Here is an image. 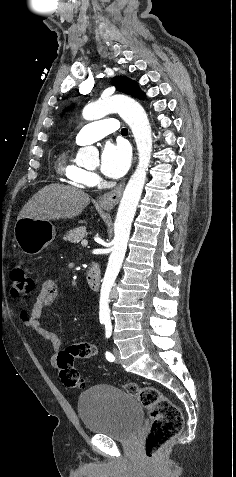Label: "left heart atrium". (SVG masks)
I'll use <instances>...</instances> for the list:
<instances>
[{
    "instance_id": "left-heart-atrium-1",
    "label": "left heart atrium",
    "mask_w": 236,
    "mask_h": 477,
    "mask_svg": "<svg viewBox=\"0 0 236 477\" xmlns=\"http://www.w3.org/2000/svg\"><path fill=\"white\" fill-rule=\"evenodd\" d=\"M131 156L124 144L107 143L100 161L101 172L110 178L123 176L130 166Z\"/></svg>"
}]
</instances>
